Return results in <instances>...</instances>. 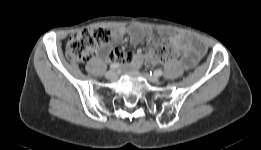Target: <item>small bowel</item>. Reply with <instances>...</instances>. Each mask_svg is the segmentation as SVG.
Returning <instances> with one entry per match:
<instances>
[{"label": "small bowel", "instance_id": "1", "mask_svg": "<svg viewBox=\"0 0 261 150\" xmlns=\"http://www.w3.org/2000/svg\"><path fill=\"white\" fill-rule=\"evenodd\" d=\"M127 32L129 34V41L133 45L141 43L145 38H149L153 34L150 27L132 26L129 29L118 27L112 32V43L115 45L119 44ZM169 42L174 48L184 52V66L186 68H190L205 51L202 42L181 34L171 36ZM101 52L113 60H119L122 63H131L135 67L141 66L144 61V56L141 53H126L118 48L104 47Z\"/></svg>", "mask_w": 261, "mask_h": 150}]
</instances>
